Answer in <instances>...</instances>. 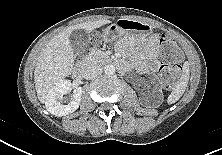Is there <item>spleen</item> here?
I'll return each mask as SVG.
<instances>
[{"mask_svg":"<svg viewBox=\"0 0 222 155\" xmlns=\"http://www.w3.org/2000/svg\"><path fill=\"white\" fill-rule=\"evenodd\" d=\"M189 71V64L185 63L183 65L182 75L167 99L169 105L177 102L184 94L189 81Z\"/></svg>","mask_w":222,"mask_h":155,"instance_id":"obj_1","label":"spleen"}]
</instances>
